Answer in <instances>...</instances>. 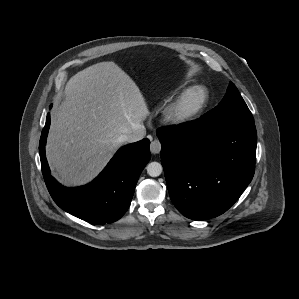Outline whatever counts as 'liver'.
<instances>
[{"label":"liver","mask_w":299,"mask_h":299,"mask_svg":"<svg viewBox=\"0 0 299 299\" xmlns=\"http://www.w3.org/2000/svg\"><path fill=\"white\" fill-rule=\"evenodd\" d=\"M150 114L136 83L114 62L94 64L66 84L51 118L46 147L54 175L66 186L91 181Z\"/></svg>","instance_id":"obj_1"}]
</instances>
